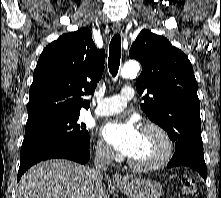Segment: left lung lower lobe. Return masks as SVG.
<instances>
[{
	"instance_id": "left-lung-lower-lobe-1",
	"label": "left lung lower lobe",
	"mask_w": 221,
	"mask_h": 198,
	"mask_svg": "<svg viewBox=\"0 0 221 198\" xmlns=\"http://www.w3.org/2000/svg\"><path fill=\"white\" fill-rule=\"evenodd\" d=\"M188 166L195 169L206 180L207 169L203 151L196 148L175 152L167 167Z\"/></svg>"
}]
</instances>
